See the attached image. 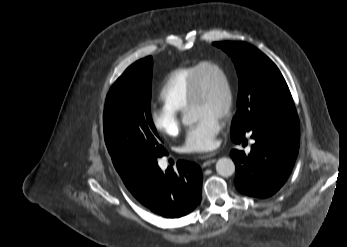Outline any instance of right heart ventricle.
<instances>
[{"label": "right heart ventricle", "mask_w": 347, "mask_h": 247, "mask_svg": "<svg viewBox=\"0 0 347 247\" xmlns=\"http://www.w3.org/2000/svg\"><path fill=\"white\" fill-rule=\"evenodd\" d=\"M198 63L170 72L159 92L163 105L177 112L187 109L190 86Z\"/></svg>", "instance_id": "obj_1"}]
</instances>
